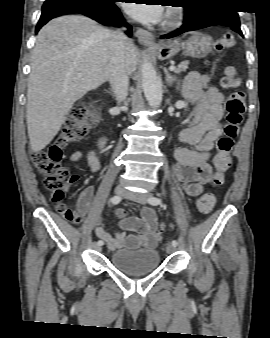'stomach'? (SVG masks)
<instances>
[{
    "instance_id": "1",
    "label": "stomach",
    "mask_w": 270,
    "mask_h": 338,
    "mask_svg": "<svg viewBox=\"0 0 270 338\" xmlns=\"http://www.w3.org/2000/svg\"><path fill=\"white\" fill-rule=\"evenodd\" d=\"M212 49V39L201 33H192L185 41L176 39L162 43L156 53L161 60L174 57L180 50L193 58H204Z\"/></svg>"
}]
</instances>
